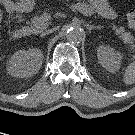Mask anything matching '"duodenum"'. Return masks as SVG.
Returning a JSON list of instances; mask_svg holds the SVG:
<instances>
[{
    "instance_id": "410a0bca",
    "label": "duodenum",
    "mask_w": 135,
    "mask_h": 135,
    "mask_svg": "<svg viewBox=\"0 0 135 135\" xmlns=\"http://www.w3.org/2000/svg\"><path fill=\"white\" fill-rule=\"evenodd\" d=\"M28 32H29V29H27V28L16 29V30L12 31L11 36L13 39H18V38H22L23 36H25Z\"/></svg>"
}]
</instances>
